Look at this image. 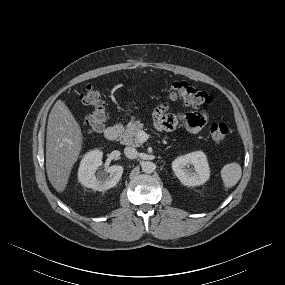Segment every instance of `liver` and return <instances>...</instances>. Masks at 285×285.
<instances>
[{
  "instance_id": "obj_1",
  "label": "liver",
  "mask_w": 285,
  "mask_h": 285,
  "mask_svg": "<svg viewBox=\"0 0 285 285\" xmlns=\"http://www.w3.org/2000/svg\"><path fill=\"white\" fill-rule=\"evenodd\" d=\"M82 143L79 123L63 101H56L47 124L46 172L50 183L59 193L67 186Z\"/></svg>"
}]
</instances>
